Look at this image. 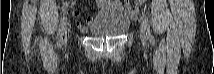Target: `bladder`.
Returning <instances> with one entry per match:
<instances>
[{"instance_id":"1","label":"bladder","mask_w":214,"mask_h":74,"mask_svg":"<svg viewBox=\"0 0 214 74\" xmlns=\"http://www.w3.org/2000/svg\"><path fill=\"white\" fill-rule=\"evenodd\" d=\"M130 21L121 8L104 10L96 16L88 31L94 36L114 37L124 34Z\"/></svg>"}]
</instances>
